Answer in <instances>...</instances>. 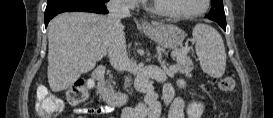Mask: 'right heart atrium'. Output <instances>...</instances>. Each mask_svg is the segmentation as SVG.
<instances>
[{
    "label": "right heart atrium",
    "instance_id": "d8ad5b80",
    "mask_svg": "<svg viewBox=\"0 0 273 118\" xmlns=\"http://www.w3.org/2000/svg\"><path fill=\"white\" fill-rule=\"evenodd\" d=\"M121 2H122L123 7L127 8V9H132L137 4L136 0H122Z\"/></svg>",
    "mask_w": 273,
    "mask_h": 118
}]
</instances>
